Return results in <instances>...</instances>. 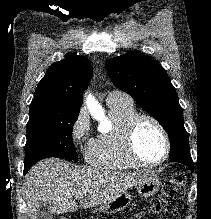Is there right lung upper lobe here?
Masks as SVG:
<instances>
[{"label":"right lung upper lobe","mask_w":211,"mask_h":219,"mask_svg":"<svg viewBox=\"0 0 211 219\" xmlns=\"http://www.w3.org/2000/svg\"><path fill=\"white\" fill-rule=\"evenodd\" d=\"M92 77L89 60L67 54L55 62L39 82L31 105L46 104L57 111H79L83 91Z\"/></svg>","instance_id":"obj_1"}]
</instances>
